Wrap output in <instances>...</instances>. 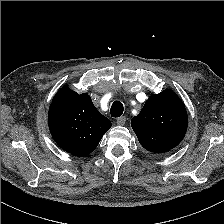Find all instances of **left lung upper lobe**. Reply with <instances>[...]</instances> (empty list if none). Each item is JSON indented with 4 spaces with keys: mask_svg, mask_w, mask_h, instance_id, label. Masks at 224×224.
Here are the masks:
<instances>
[{
    "mask_svg": "<svg viewBox=\"0 0 224 224\" xmlns=\"http://www.w3.org/2000/svg\"><path fill=\"white\" fill-rule=\"evenodd\" d=\"M188 125L186 108L171 90L151 95L131 126L140 144L153 153L176 147L184 138Z\"/></svg>",
    "mask_w": 224,
    "mask_h": 224,
    "instance_id": "5c2ea615",
    "label": "left lung upper lobe"
}]
</instances>
